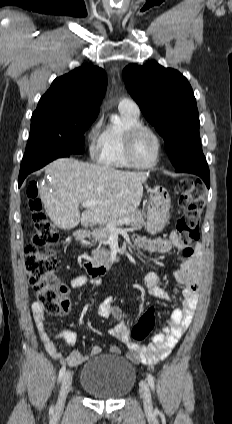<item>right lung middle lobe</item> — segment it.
<instances>
[{
  "instance_id": "dd1d6c3e",
  "label": "right lung middle lobe",
  "mask_w": 232,
  "mask_h": 424,
  "mask_svg": "<svg viewBox=\"0 0 232 424\" xmlns=\"http://www.w3.org/2000/svg\"><path fill=\"white\" fill-rule=\"evenodd\" d=\"M96 117L78 108L56 107L35 110L21 164L47 153H83L84 132Z\"/></svg>"
}]
</instances>
